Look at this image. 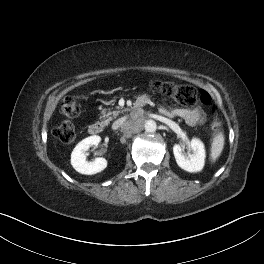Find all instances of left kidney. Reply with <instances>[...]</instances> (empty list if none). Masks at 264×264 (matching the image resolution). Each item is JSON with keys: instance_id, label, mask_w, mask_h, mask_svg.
I'll use <instances>...</instances> for the list:
<instances>
[{"instance_id": "5707ae66", "label": "left kidney", "mask_w": 264, "mask_h": 264, "mask_svg": "<svg viewBox=\"0 0 264 264\" xmlns=\"http://www.w3.org/2000/svg\"><path fill=\"white\" fill-rule=\"evenodd\" d=\"M193 154L185 156L183 154L184 147L179 144L173 146V153L176 162L180 168L188 172H199L203 169L205 163L204 144L199 139H192L189 143Z\"/></svg>"}]
</instances>
